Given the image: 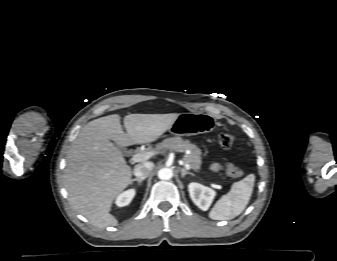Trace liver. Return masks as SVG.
<instances>
[{
    "instance_id": "6515ba94",
    "label": "liver",
    "mask_w": 337,
    "mask_h": 261,
    "mask_svg": "<svg viewBox=\"0 0 337 261\" xmlns=\"http://www.w3.org/2000/svg\"><path fill=\"white\" fill-rule=\"evenodd\" d=\"M179 114H112L90 121L73 142L67 156L64 186L72 208L98 228L116 226L112 203L131 182L132 170L121 147L150 143L169 130Z\"/></svg>"
}]
</instances>
